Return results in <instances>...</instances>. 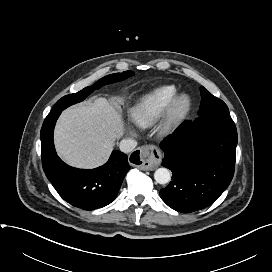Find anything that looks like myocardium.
Wrapping results in <instances>:
<instances>
[{"label": "myocardium", "mask_w": 272, "mask_h": 272, "mask_svg": "<svg viewBox=\"0 0 272 272\" xmlns=\"http://www.w3.org/2000/svg\"><path fill=\"white\" fill-rule=\"evenodd\" d=\"M192 101L189 95L185 93L177 94L165 111L160 124V130L163 133L173 130L189 113Z\"/></svg>", "instance_id": "1"}]
</instances>
